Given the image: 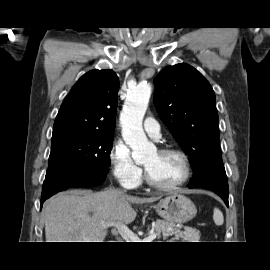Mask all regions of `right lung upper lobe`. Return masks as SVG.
<instances>
[{"mask_svg": "<svg viewBox=\"0 0 270 270\" xmlns=\"http://www.w3.org/2000/svg\"><path fill=\"white\" fill-rule=\"evenodd\" d=\"M118 90L119 79L113 70L87 72L63 101L53 131L73 129L113 133Z\"/></svg>", "mask_w": 270, "mask_h": 270, "instance_id": "obj_1", "label": "right lung upper lobe"}]
</instances>
